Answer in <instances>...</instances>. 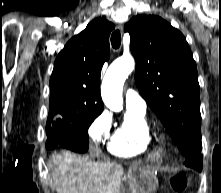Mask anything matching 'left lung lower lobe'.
<instances>
[{
	"instance_id": "left-lung-lower-lobe-1",
	"label": "left lung lower lobe",
	"mask_w": 221,
	"mask_h": 193,
	"mask_svg": "<svg viewBox=\"0 0 221 193\" xmlns=\"http://www.w3.org/2000/svg\"><path fill=\"white\" fill-rule=\"evenodd\" d=\"M185 165L201 172L203 167L202 154L199 153L191 158H185Z\"/></svg>"
}]
</instances>
